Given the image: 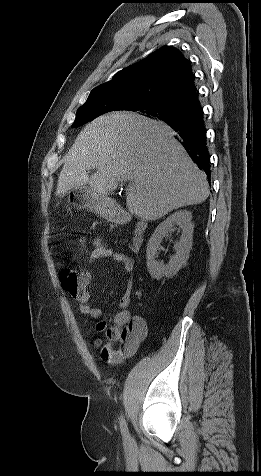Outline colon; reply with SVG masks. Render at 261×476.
I'll list each match as a JSON object with an SVG mask.
<instances>
[{
    "label": "colon",
    "mask_w": 261,
    "mask_h": 476,
    "mask_svg": "<svg viewBox=\"0 0 261 476\" xmlns=\"http://www.w3.org/2000/svg\"><path fill=\"white\" fill-rule=\"evenodd\" d=\"M59 280L63 289L70 294H75L89 282V276L85 272H79L72 267H65L60 271ZM98 329L109 338L116 339L119 335L117 330L107 328L104 323H100Z\"/></svg>",
    "instance_id": "obj_1"
}]
</instances>
